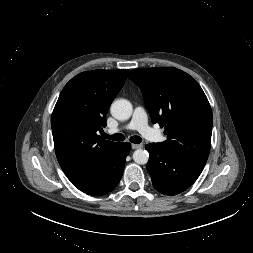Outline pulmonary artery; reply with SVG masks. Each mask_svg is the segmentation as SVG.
Instances as JSON below:
<instances>
[{"label": "pulmonary artery", "instance_id": "pulmonary-artery-1", "mask_svg": "<svg viewBox=\"0 0 253 253\" xmlns=\"http://www.w3.org/2000/svg\"><path fill=\"white\" fill-rule=\"evenodd\" d=\"M122 129L137 130L146 139L153 142H161L163 140V136L149 126L146 111L141 106L135 108L131 121L124 128H113L109 129L107 132L109 134H114Z\"/></svg>", "mask_w": 253, "mask_h": 253}]
</instances>
